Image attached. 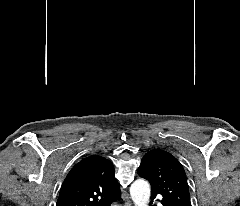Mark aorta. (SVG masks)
<instances>
[{
	"label": "aorta",
	"instance_id": "obj_1",
	"mask_svg": "<svg viewBox=\"0 0 240 206\" xmlns=\"http://www.w3.org/2000/svg\"><path fill=\"white\" fill-rule=\"evenodd\" d=\"M150 185L144 179H137L130 187V195L135 206H148Z\"/></svg>",
	"mask_w": 240,
	"mask_h": 206
}]
</instances>
